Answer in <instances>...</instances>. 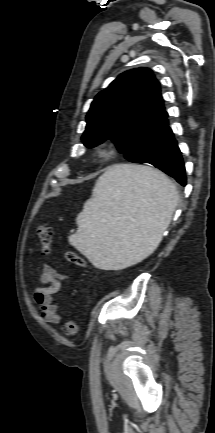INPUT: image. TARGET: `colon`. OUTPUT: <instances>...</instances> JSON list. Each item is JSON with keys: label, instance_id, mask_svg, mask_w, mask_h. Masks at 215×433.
<instances>
[{"label": "colon", "instance_id": "colon-1", "mask_svg": "<svg viewBox=\"0 0 215 433\" xmlns=\"http://www.w3.org/2000/svg\"><path fill=\"white\" fill-rule=\"evenodd\" d=\"M37 237L40 242L41 250L44 255H47L50 253L51 245H52V237H53V230L50 225L47 223L42 224L38 226L37 228ZM66 259L70 263H73L80 267H85L86 262L84 258L76 253L75 251H68L66 253ZM63 331L66 336H75L80 331V324L77 321L69 320L64 323L63 325Z\"/></svg>", "mask_w": 215, "mask_h": 433}]
</instances>
